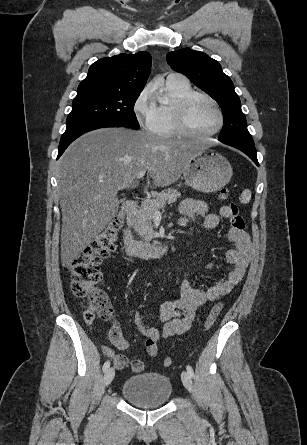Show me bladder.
<instances>
[{
	"label": "bladder",
	"instance_id": "31cf9c89",
	"mask_svg": "<svg viewBox=\"0 0 307 445\" xmlns=\"http://www.w3.org/2000/svg\"><path fill=\"white\" fill-rule=\"evenodd\" d=\"M122 395L133 405L153 409L166 405L172 396V384L161 373L145 372L126 379L121 388Z\"/></svg>",
	"mask_w": 307,
	"mask_h": 445
}]
</instances>
